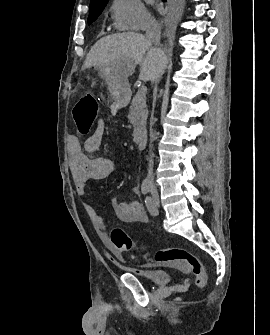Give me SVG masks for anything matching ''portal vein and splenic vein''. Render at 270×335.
<instances>
[{
    "label": "portal vein and splenic vein",
    "mask_w": 270,
    "mask_h": 335,
    "mask_svg": "<svg viewBox=\"0 0 270 335\" xmlns=\"http://www.w3.org/2000/svg\"><path fill=\"white\" fill-rule=\"evenodd\" d=\"M147 91H148L147 86H140V88H137V90H136V93H137L136 100L137 101H142L143 100V95H144V93H147Z\"/></svg>",
    "instance_id": "portal-vein-and-splenic-vein-1"
}]
</instances>
